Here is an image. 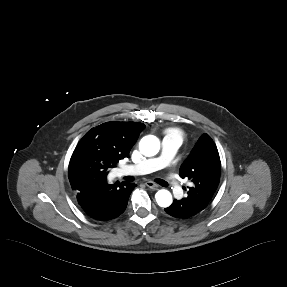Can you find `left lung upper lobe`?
<instances>
[{"instance_id":"obj_1","label":"left lung upper lobe","mask_w":287,"mask_h":287,"mask_svg":"<svg viewBox=\"0 0 287 287\" xmlns=\"http://www.w3.org/2000/svg\"><path fill=\"white\" fill-rule=\"evenodd\" d=\"M220 167L216 145L203 134L180 167V176L193 182L185 198L190 205L204 209L212 200L220 180Z\"/></svg>"}]
</instances>
